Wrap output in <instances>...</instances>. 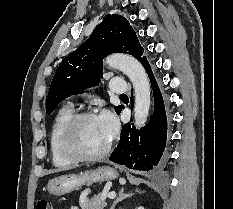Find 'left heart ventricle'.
<instances>
[{"mask_svg": "<svg viewBox=\"0 0 233 209\" xmlns=\"http://www.w3.org/2000/svg\"><path fill=\"white\" fill-rule=\"evenodd\" d=\"M97 117L84 119L77 126L73 147L84 155H91L102 150L108 142Z\"/></svg>", "mask_w": 233, "mask_h": 209, "instance_id": "1", "label": "left heart ventricle"}]
</instances>
